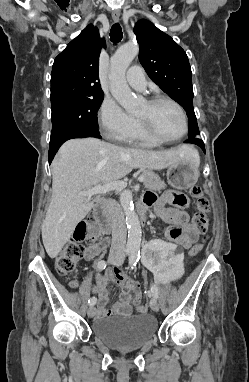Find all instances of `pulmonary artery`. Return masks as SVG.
Returning <instances> with one entry per match:
<instances>
[{"label":"pulmonary artery","mask_w":249,"mask_h":382,"mask_svg":"<svg viewBox=\"0 0 249 382\" xmlns=\"http://www.w3.org/2000/svg\"><path fill=\"white\" fill-rule=\"evenodd\" d=\"M127 83L137 90H144L147 85L143 68L140 65L131 66L126 73Z\"/></svg>","instance_id":"1"}]
</instances>
